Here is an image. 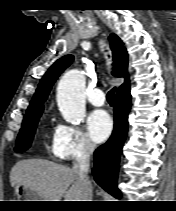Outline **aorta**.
<instances>
[{"label": "aorta", "instance_id": "762f6f07", "mask_svg": "<svg viewBox=\"0 0 176 211\" xmlns=\"http://www.w3.org/2000/svg\"><path fill=\"white\" fill-rule=\"evenodd\" d=\"M85 76L71 70L60 79L57 87V104L63 118L72 124H80L85 113Z\"/></svg>", "mask_w": 176, "mask_h": 211}]
</instances>
